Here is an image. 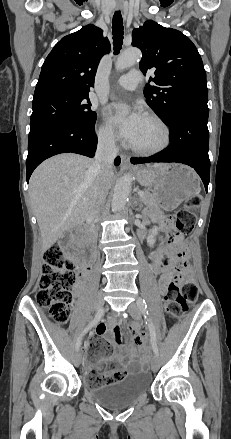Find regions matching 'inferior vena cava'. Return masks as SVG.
<instances>
[{
    "label": "inferior vena cava",
    "mask_w": 231,
    "mask_h": 439,
    "mask_svg": "<svg viewBox=\"0 0 231 439\" xmlns=\"http://www.w3.org/2000/svg\"><path fill=\"white\" fill-rule=\"evenodd\" d=\"M117 153L118 149L113 136L106 135L99 138L93 163V168L98 174V191L96 202L89 216L94 220L98 218L100 208L107 197L110 188L109 177L112 174L113 162Z\"/></svg>",
    "instance_id": "inferior-vena-cava-1"
}]
</instances>
